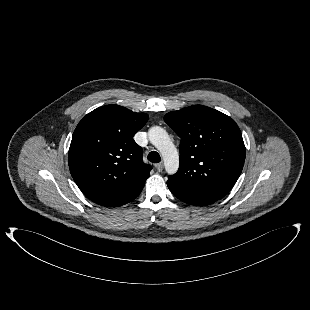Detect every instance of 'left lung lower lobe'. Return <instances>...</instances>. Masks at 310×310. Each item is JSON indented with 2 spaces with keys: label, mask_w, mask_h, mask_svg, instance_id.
<instances>
[{
  "label": "left lung lower lobe",
  "mask_w": 310,
  "mask_h": 310,
  "mask_svg": "<svg viewBox=\"0 0 310 310\" xmlns=\"http://www.w3.org/2000/svg\"><path fill=\"white\" fill-rule=\"evenodd\" d=\"M168 188L170 191L181 201L194 205V206H205V205H210L214 202H216L218 199L202 196V195H197L194 193L186 192L171 183L167 181Z\"/></svg>",
  "instance_id": "left-lung-lower-lobe-1"
}]
</instances>
